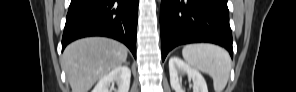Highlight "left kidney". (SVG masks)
<instances>
[{
	"instance_id": "obj_1",
	"label": "left kidney",
	"mask_w": 296,
	"mask_h": 92,
	"mask_svg": "<svg viewBox=\"0 0 296 92\" xmlns=\"http://www.w3.org/2000/svg\"><path fill=\"white\" fill-rule=\"evenodd\" d=\"M169 73L170 84L175 92H185L180 81L182 74H187L188 78L193 81V92H208L206 81L201 73L177 56L169 60Z\"/></svg>"
}]
</instances>
